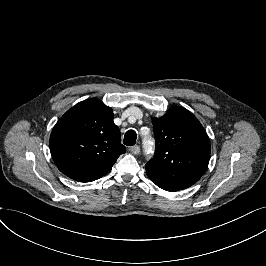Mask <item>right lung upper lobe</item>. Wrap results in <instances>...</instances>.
<instances>
[{
    "label": "right lung upper lobe",
    "instance_id": "cb5924a9",
    "mask_svg": "<svg viewBox=\"0 0 266 266\" xmlns=\"http://www.w3.org/2000/svg\"><path fill=\"white\" fill-rule=\"evenodd\" d=\"M113 111L98 99H88L68 110L54 126L50 151L59 170L78 182L106 175L126 148Z\"/></svg>",
    "mask_w": 266,
    "mask_h": 266
}]
</instances>
